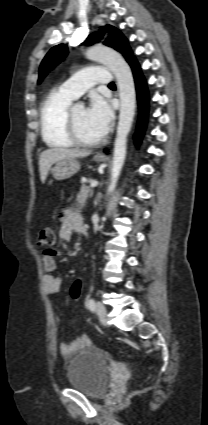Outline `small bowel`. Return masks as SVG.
Returning <instances> with one entry per match:
<instances>
[{
  "label": "small bowel",
  "mask_w": 208,
  "mask_h": 425,
  "mask_svg": "<svg viewBox=\"0 0 208 425\" xmlns=\"http://www.w3.org/2000/svg\"><path fill=\"white\" fill-rule=\"evenodd\" d=\"M61 225L59 229V237L63 241H70L72 239L73 233L75 231H80V229L85 226L82 218L72 211H64L61 216ZM56 255L55 251L45 252L42 262L44 270L47 274L44 276V288L47 294H57L59 293L62 286V279L53 274L57 265L54 259ZM56 323L59 326L61 320L56 316ZM91 341L89 337L85 334L79 336L75 341L71 343L63 342L60 345V351L63 355H71L77 349L90 346Z\"/></svg>",
  "instance_id": "obj_1"
}]
</instances>
